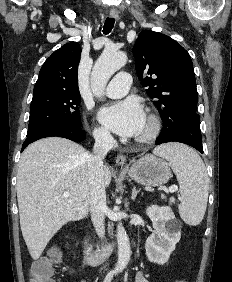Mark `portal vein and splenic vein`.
Returning <instances> with one entry per match:
<instances>
[{
  "instance_id": "18ae733b",
  "label": "portal vein and splenic vein",
  "mask_w": 232,
  "mask_h": 282,
  "mask_svg": "<svg viewBox=\"0 0 232 282\" xmlns=\"http://www.w3.org/2000/svg\"><path fill=\"white\" fill-rule=\"evenodd\" d=\"M168 191L170 193H174V192L178 191V187L176 185H172V186L169 187ZM63 196L64 197H69V192H64Z\"/></svg>"
}]
</instances>
